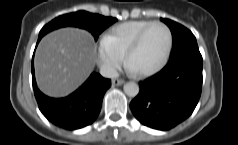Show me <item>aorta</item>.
Returning <instances> with one entry per match:
<instances>
[{"instance_id": "obj_1", "label": "aorta", "mask_w": 238, "mask_h": 145, "mask_svg": "<svg viewBox=\"0 0 238 145\" xmlns=\"http://www.w3.org/2000/svg\"><path fill=\"white\" fill-rule=\"evenodd\" d=\"M124 92L129 97H135L139 93V85L136 82H127L124 87Z\"/></svg>"}]
</instances>
